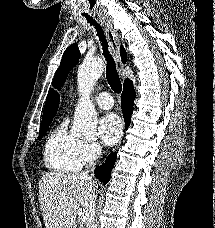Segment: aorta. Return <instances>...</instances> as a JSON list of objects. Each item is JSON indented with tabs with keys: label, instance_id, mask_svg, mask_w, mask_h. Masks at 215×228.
Masks as SVG:
<instances>
[{
	"label": "aorta",
	"instance_id": "obj_1",
	"mask_svg": "<svg viewBox=\"0 0 215 228\" xmlns=\"http://www.w3.org/2000/svg\"><path fill=\"white\" fill-rule=\"evenodd\" d=\"M104 70L100 58L85 60L78 70V88L92 90ZM97 128V114L89 100L79 102L73 120L72 132L76 136H95Z\"/></svg>",
	"mask_w": 215,
	"mask_h": 228
}]
</instances>
